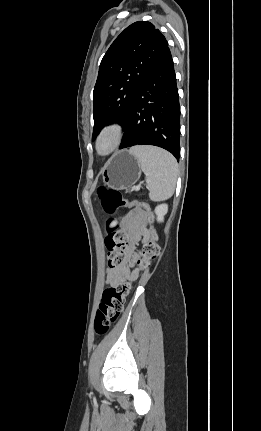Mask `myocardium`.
I'll return each instance as SVG.
<instances>
[{"instance_id":"1","label":"myocardium","mask_w":261,"mask_h":431,"mask_svg":"<svg viewBox=\"0 0 261 431\" xmlns=\"http://www.w3.org/2000/svg\"><path fill=\"white\" fill-rule=\"evenodd\" d=\"M123 136V128L118 122L106 124L95 139L94 148L97 155L106 157L112 154L120 145ZM106 142V147L102 144Z\"/></svg>"}]
</instances>
